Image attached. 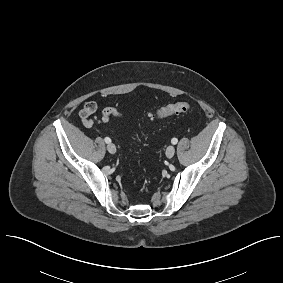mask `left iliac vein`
I'll list each match as a JSON object with an SVG mask.
<instances>
[{
    "mask_svg": "<svg viewBox=\"0 0 283 283\" xmlns=\"http://www.w3.org/2000/svg\"><path fill=\"white\" fill-rule=\"evenodd\" d=\"M175 154V147L173 145H170L166 149V156L167 158H172Z\"/></svg>",
    "mask_w": 283,
    "mask_h": 283,
    "instance_id": "1",
    "label": "left iliac vein"
}]
</instances>
